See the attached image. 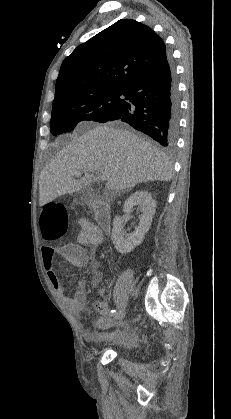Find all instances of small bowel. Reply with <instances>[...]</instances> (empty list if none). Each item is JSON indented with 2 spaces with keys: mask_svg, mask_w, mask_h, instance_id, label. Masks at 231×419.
<instances>
[{
  "mask_svg": "<svg viewBox=\"0 0 231 419\" xmlns=\"http://www.w3.org/2000/svg\"><path fill=\"white\" fill-rule=\"evenodd\" d=\"M47 206L49 205H46V207ZM79 225L81 227V231L77 237V243H68L59 248L44 247L42 249L43 263L48 279L53 288L64 301L68 310L73 313H80L86 308L87 298L84 290V282H79L73 295H68L56 273L55 257L58 255L61 260L69 266L76 268L84 267L91 259L86 248H89L93 252L102 240L99 229L87 219L80 218ZM91 269L94 273L93 280L96 283L100 279V270L98 263L94 259L91 260ZM105 294L106 293L103 290L102 295ZM94 306L100 316L94 322V330L86 328L82 330L84 338L90 342H95L102 338L124 341L128 336L125 328H116L109 331L113 326V323L109 317L108 304L106 302H97Z\"/></svg>",
  "mask_w": 231,
  "mask_h": 419,
  "instance_id": "small-bowel-1",
  "label": "small bowel"
}]
</instances>
